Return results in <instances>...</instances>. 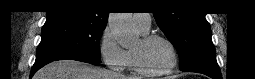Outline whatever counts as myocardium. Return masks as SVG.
<instances>
[{
    "instance_id": "myocardium-1",
    "label": "myocardium",
    "mask_w": 255,
    "mask_h": 79,
    "mask_svg": "<svg viewBox=\"0 0 255 79\" xmlns=\"http://www.w3.org/2000/svg\"><path fill=\"white\" fill-rule=\"evenodd\" d=\"M156 39L161 40V41H163L164 43L167 44V46H168V48L170 50V62L162 70H159V71H150V70H147V69H145L143 67V65L141 64L140 59H139L137 53L132 50L131 53H132L134 69L136 70L137 73H139L141 75H144V76H161V75H165V74L170 73L175 68V66L177 65V62H178V52H177V49H176L174 43L169 38H167L166 36H164L162 34H157V33L147 34V35H145L142 38V42L143 43H149V42H151L153 40H156Z\"/></svg>"
}]
</instances>
